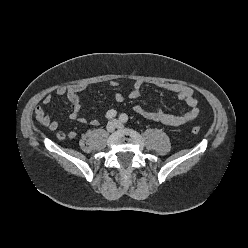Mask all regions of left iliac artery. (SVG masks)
<instances>
[{"label":"left iliac artery","instance_id":"1","mask_svg":"<svg viewBox=\"0 0 248 248\" xmlns=\"http://www.w3.org/2000/svg\"><path fill=\"white\" fill-rule=\"evenodd\" d=\"M119 119L123 122V123H127L128 122V116L126 114H121Z\"/></svg>","mask_w":248,"mask_h":248}]
</instances>
